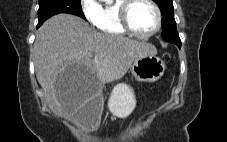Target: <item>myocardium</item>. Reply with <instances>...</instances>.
I'll list each match as a JSON object with an SVG mask.
<instances>
[{
    "instance_id": "myocardium-1",
    "label": "myocardium",
    "mask_w": 227,
    "mask_h": 142,
    "mask_svg": "<svg viewBox=\"0 0 227 142\" xmlns=\"http://www.w3.org/2000/svg\"><path fill=\"white\" fill-rule=\"evenodd\" d=\"M136 1L137 0H122V3L119 6L120 24L127 33H129L135 37H138V38L147 39V38H150V37L156 35L160 31V29L162 27V22H163L162 11H161L159 5L154 0H145L154 8V10L156 12L157 25H156L155 29L149 33H146V34L139 33L133 28L131 21H130V11H131L133 4Z\"/></svg>"
}]
</instances>
